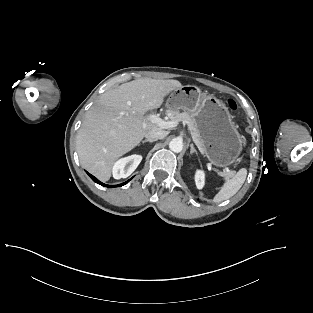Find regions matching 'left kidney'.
Masks as SVG:
<instances>
[{
    "instance_id": "1",
    "label": "left kidney",
    "mask_w": 313,
    "mask_h": 313,
    "mask_svg": "<svg viewBox=\"0 0 313 313\" xmlns=\"http://www.w3.org/2000/svg\"><path fill=\"white\" fill-rule=\"evenodd\" d=\"M195 184L198 189H202L205 185V174L202 170H197L195 173Z\"/></svg>"
}]
</instances>
